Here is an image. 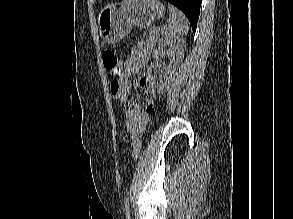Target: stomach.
<instances>
[{
    "mask_svg": "<svg viewBox=\"0 0 293 219\" xmlns=\"http://www.w3.org/2000/svg\"><path fill=\"white\" fill-rule=\"evenodd\" d=\"M164 12L165 7L158 0H123L107 5L98 14L100 36L105 42L117 43L133 26L149 27Z\"/></svg>",
    "mask_w": 293,
    "mask_h": 219,
    "instance_id": "stomach-1",
    "label": "stomach"
}]
</instances>
